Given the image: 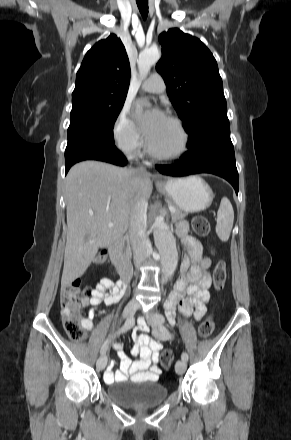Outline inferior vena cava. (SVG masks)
Here are the masks:
<instances>
[{
	"instance_id": "inferior-vena-cava-1",
	"label": "inferior vena cava",
	"mask_w": 291,
	"mask_h": 440,
	"mask_svg": "<svg viewBox=\"0 0 291 440\" xmlns=\"http://www.w3.org/2000/svg\"><path fill=\"white\" fill-rule=\"evenodd\" d=\"M139 172L147 173L140 167ZM147 203L145 200L138 201L132 209L129 220V240L133 249L134 263L136 267L148 257L151 252V244L146 235L147 229Z\"/></svg>"
}]
</instances>
